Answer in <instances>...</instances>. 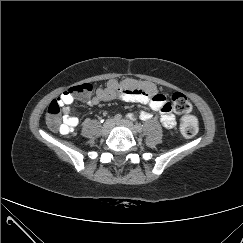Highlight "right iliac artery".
I'll use <instances>...</instances> for the list:
<instances>
[{"label":"right iliac artery","instance_id":"82829eb1","mask_svg":"<svg viewBox=\"0 0 243 243\" xmlns=\"http://www.w3.org/2000/svg\"><path fill=\"white\" fill-rule=\"evenodd\" d=\"M121 118H122V115L121 114L115 115V120H120Z\"/></svg>","mask_w":243,"mask_h":243}]
</instances>
